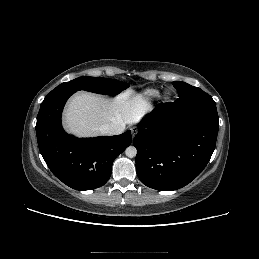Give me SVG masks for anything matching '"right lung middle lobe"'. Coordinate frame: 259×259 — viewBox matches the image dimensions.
<instances>
[{
	"instance_id": "dd1d6c3e",
	"label": "right lung middle lobe",
	"mask_w": 259,
	"mask_h": 259,
	"mask_svg": "<svg viewBox=\"0 0 259 259\" xmlns=\"http://www.w3.org/2000/svg\"><path fill=\"white\" fill-rule=\"evenodd\" d=\"M128 86V83L114 79L84 76L60 84L50 93H48L46 97L64 91L76 92L78 90H86L100 94L116 95L122 90L126 89Z\"/></svg>"
}]
</instances>
